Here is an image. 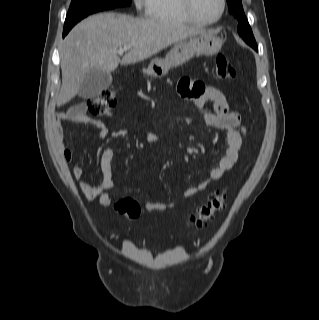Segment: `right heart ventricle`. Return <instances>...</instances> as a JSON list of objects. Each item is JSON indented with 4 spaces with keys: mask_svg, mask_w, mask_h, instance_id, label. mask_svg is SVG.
I'll return each instance as SVG.
<instances>
[{
    "mask_svg": "<svg viewBox=\"0 0 319 320\" xmlns=\"http://www.w3.org/2000/svg\"><path fill=\"white\" fill-rule=\"evenodd\" d=\"M147 15L152 20L169 24H194L186 15L181 0H150Z\"/></svg>",
    "mask_w": 319,
    "mask_h": 320,
    "instance_id": "obj_1",
    "label": "right heart ventricle"
}]
</instances>
